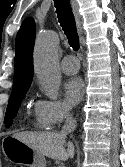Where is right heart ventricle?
I'll return each instance as SVG.
<instances>
[{
	"mask_svg": "<svg viewBox=\"0 0 125 167\" xmlns=\"http://www.w3.org/2000/svg\"><path fill=\"white\" fill-rule=\"evenodd\" d=\"M36 126H38V127H42L39 123H36Z\"/></svg>",
	"mask_w": 125,
	"mask_h": 167,
	"instance_id": "right-heart-ventricle-1",
	"label": "right heart ventricle"
}]
</instances>
